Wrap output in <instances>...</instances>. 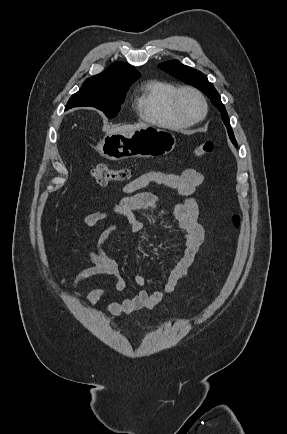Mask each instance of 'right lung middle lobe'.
<instances>
[{"label": "right lung middle lobe", "instance_id": "1", "mask_svg": "<svg viewBox=\"0 0 287 434\" xmlns=\"http://www.w3.org/2000/svg\"><path fill=\"white\" fill-rule=\"evenodd\" d=\"M131 82L86 80L82 88L69 99L66 110L72 107L91 106L104 112L108 118L115 117L125 99Z\"/></svg>", "mask_w": 287, "mask_h": 434}]
</instances>
